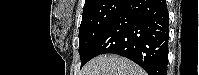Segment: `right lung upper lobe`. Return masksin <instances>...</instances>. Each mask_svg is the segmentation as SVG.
I'll return each mask as SVG.
<instances>
[{"instance_id":"obj_1","label":"right lung upper lobe","mask_w":199,"mask_h":75,"mask_svg":"<svg viewBox=\"0 0 199 75\" xmlns=\"http://www.w3.org/2000/svg\"><path fill=\"white\" fill-rule=\"evenodd\" d=\"M105 0H85L84 9L100 6Z\"/></svg>"}]
</instances>
